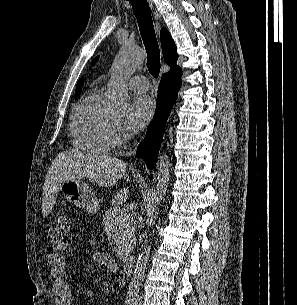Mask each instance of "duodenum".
Returning <instances> with one entry per match:
<instances>
[{"label": "duodenum", "instance_id": "410a0bca", "mask_svg": "<svg viewBox=\"0 0 297 305\" xmlns=\"http://www.w3.org/2000/svg\"><path fill=\"white\" fill-rule=\"evenodd\" d=\"M123 270L126 274H130L133 268V257L127 256L122 260Z\"/></svg>", "mask_w": 297, "mask_h": 305}]
</instances>
